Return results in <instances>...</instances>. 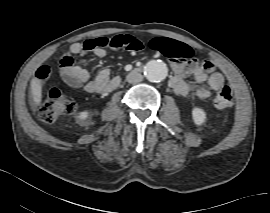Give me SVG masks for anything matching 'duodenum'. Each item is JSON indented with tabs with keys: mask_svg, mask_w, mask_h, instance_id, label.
<instances>
[{
	"mask_svg": "<svg viewBox=\"0 0 270 213\" xmlns=\"http://www.w3.org/2000/svg\"><path fill=\"white\" fill-rule=\"evenodd\" d=\"M136 71H140V68H136Z\"/></svg>",
	"mask_w": 270,
	"mask_h": 213,
	"instance_id": "duodenum-1",
	"label": "duodenum"
}]
</instances>
